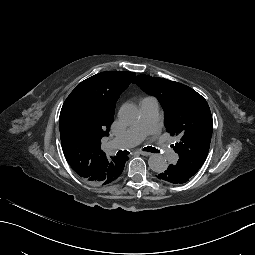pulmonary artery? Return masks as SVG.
Instances as JSON below:
<instances>
[{
    "instance_id": "1",
    "label": "pulmonary artery",
    "mask_w": 255,
    "mask_h": 255,
    "mask_svg": "<svg viewBox=\"0 0 255 255\" xmlns=\"http://www.w3.org/2000/svg\"><path fill=\"white\" fill-rule=\"evenodd\" d=\"M141 119L138 125L129 128L121 135L117 136L107 144L108 154L118 150H125L138 145L145 136L155 141L154 145L158 151L165 153L166 158L171 162L178 160V155L173 151L171 144H166L165 139L161 138L158 130L162 123L158 120L159 104L155 98L142 100L140 103Z\"/></svg>"
}]
</instances>
